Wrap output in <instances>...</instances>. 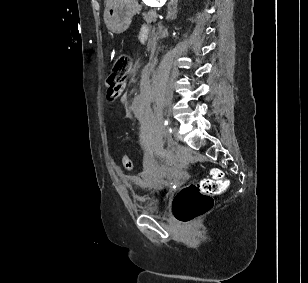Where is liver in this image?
Segmentation results:
<instances>
[{"instance_id": "liver-1", "label": "liver", "mask_w": 308, "mask_h": 283, "mask_svg": "<svg viewBox=\"0 0 308 283\" xmlns=\"http://www.w3.org/2000/svg\"><path fill=\"white\" fill-rule=\"evenodd\" d=\"M117 0H106V7L111 5L112 3L116 2Z\"/></svg>"}]
</instances>
